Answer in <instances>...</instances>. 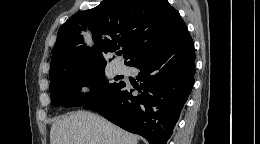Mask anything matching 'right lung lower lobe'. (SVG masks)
<instances>
[{"instance_id": "1", "label": "right lung lower lobe", "mask_w": 260, "mask_h": 144, "mask_svg": "<svg viewBox=\"0 0 260 144\" xmlns=\"http://www.w3.org/2000/svg\"><path fill=\"white\" fill-rule=\"evenodd\" d=\"M128 66L140 70V85L121 84L84 105L150 144H166L194 84L195 50L188 33L180 41L149 52Z\"/></svg>"}]
</instances>
